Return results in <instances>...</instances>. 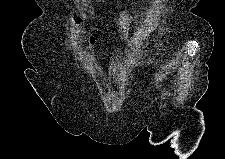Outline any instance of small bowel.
I'll list each match as a JSON object with an SVG mask.
<instances>
[{"instance_id":"1","label":"small bowel","mask_w":225,"mask_h":159,"mask_svg":"<svg viewBox=\"0 0 225 159\" xmlns=\"http://www.w3.org/2000/svg\"><path fill=\"white\" fill-rule=\"evenodd\" d=\"M118 22H119V25H120V35H119V42H120V41L124 40L129 34V30H130V17H129V15L124 13V12H121L118 15ZM77 24H78V20H77V18H74L72 27L73 28L76 27ZM97 37H98V30L94 29L90 33V36H89V44L91 46H93L96 43ZM140 39H141V36H136L134 38V41H133V46H136V44H138Z\"/></svg>"}]
</instances>
